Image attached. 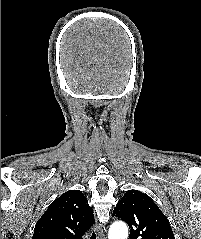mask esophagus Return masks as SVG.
I'll return each instance as SVG.
<instances>
[{
  "mask_svg": "<svg viewBox=\"0 0 201 239\" xmlns=\"http://www.w3.org/2000/svg\"><path fill=\"white\" fill-rule=\"evenodd\" d=\"M96 230L98 234V239H106L104 229L101 226H98Z\"/></svg>",
  "mask_w": 201,
  "mask_h": 239,
  "instance_id": "34e87169",
  "label": "esophagus"
}]
</instances>
